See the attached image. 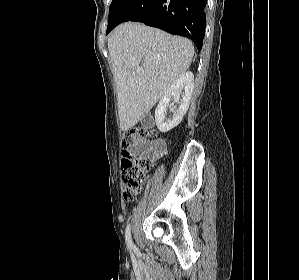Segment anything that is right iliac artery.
<instances>
[{
    "label": "right iliac artery",
    "mask_w": 299,
    "mask_h": 280,
    "mask_svg": "<svg viewBox=\"0 0 299 280\" xmlns=\"http://www.w3.org/2000/svg\"><path fill=\"white\" fill-rule=\"evenodd\" d=\"M125 240H126L127 246H128L130 249H135V246H134V244H133V242H132V239H131L130 226H129V225H128L127 228H126Z\"/></svg>",
    "instance_id": "1"
}]
</instances>
